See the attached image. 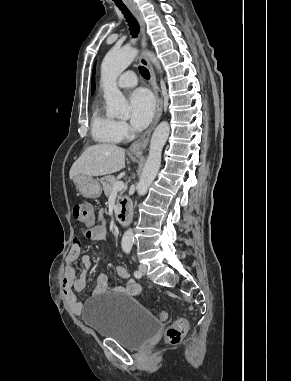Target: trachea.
I'll use <instances>...</instances> for the list:
<instances>
[{
	"mask_svg": "<svg viewBox=\"0 0 291 381\" xmlns=\"http://www.w3.org/2000/svg\"><path fill=\"white\" fill-rule=\"evenodd\" d=\"M116 6L122 11L129 27H130V31H131V34L133 37H136L139 33V24H138V21L136 20V18L133 16V14L131 13V11L127 8V6L123 3V2H117L116 0H114ZM139 71H140V74L142 75L143 78H145L146 80L150 79V73L148 71V69H146L145 67H139Z\"/></svg>",
	"mask_w": 291,
	"mask_h": 381,
	"instance_id": "obj_1",
	"label": "trachea"
}]
</instances>
